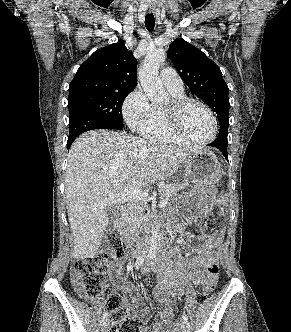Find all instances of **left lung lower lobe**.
Segmentation results:
<instances>
[{"instance_id": "1", "label": "left lung lower lobe", "mask_w": 291, "mask_h": 332, "mask_svg": "<svg viewBox=\"0 0 291 332\" xmlns=\"http://www.w3.org/2000/svg\"><path fill=\"white\" fill-rule=\"evenodd\" d=\"M209 146L216 147L217 149H219L228 160L227 134L223 130H220V133L218 134L216 140L213 143L209 144Z\"/></svg>"}]
</instances>
